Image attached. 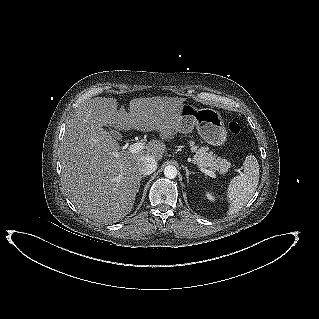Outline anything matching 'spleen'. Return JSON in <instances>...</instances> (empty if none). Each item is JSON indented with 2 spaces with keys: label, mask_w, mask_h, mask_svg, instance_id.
Returning <instances> with one entry per match:
<instances>
[{
  "label": "spleen",
  "mask_w": 319,
  "mask_h": 319,
  "mask_svg": "<svg viewBox=\"0 0 319 319\" xmlns=\"http://www.w3.org/2000/svg\"><path fill=\"white\" fill-rule=\"evenodd\" d=\"M243 165L244 172L234 177L227 188L229 215L237 213L248 203L259 182V164L255 156H247Z\"/></svg>",
  "instance_id": "3e777b00"
}]
</instances>
